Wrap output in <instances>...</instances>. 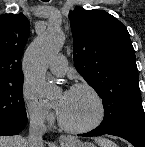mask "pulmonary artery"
<instances>
[{
    "mask_svg": "<svg viewBox=\"0 0 145 147\" xmlns=\"http://www.w3.org/2000/svg\"><path fill=\"white\" fill-rule=\"evenodd\" d=\"M50 71L58 76L64 75L67 71V60L62 55H56L49 64Z\"/></svg>",
    "mask_w": 145,
    "mask_h": 147,
    "instance_id": "obj_1",
    "label": "pulmonary artery"
}]
</instances>
